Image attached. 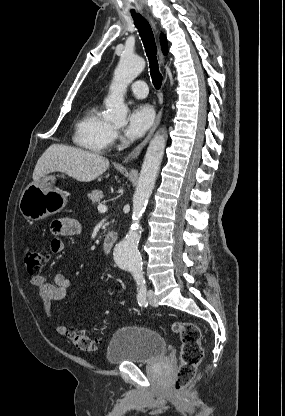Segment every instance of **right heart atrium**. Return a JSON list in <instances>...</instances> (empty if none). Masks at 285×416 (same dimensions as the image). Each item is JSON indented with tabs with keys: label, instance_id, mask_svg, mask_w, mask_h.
I'll use <instances>...</instances> for the list:
<instances>
[{
	"label": "right heart atrium",
	"instance_id": "1",
	"mask_svg": "<svg viewBox=\"0 0 285 416\" xmlns=\"http://www.w3.org/2000/svg\"><path fill=\"white\" fill-rule=\"evenodd\" d=\"M120 140L119 133L116 129L111 130L110 138H109V145L114 146Z\"/></svg>",
	"mask_w": 285,
	"mask_h": 416
}]
</instances>
